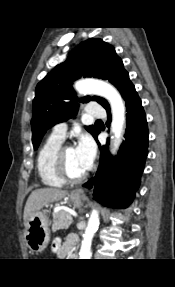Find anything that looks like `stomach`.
Masks as SVG:
<instances>
[{"mask_svg": "<svg viewBox=\"0 0 175 287\" xmlns=\"http://www.w3.org/2000/svg\"><path fill=\"white\" fill-rule=\"evenodd\" d=\"M70 202L74 207H80L83 204L84 196L71 192L68 195ZM50 222L43 212L33 213L25 224L24 239L31 252L43 251L50 241Z\"/></svg>", "mask_w": 175, "mask_h": 287, "instance_id": "stomach-1", "label": "stomach"}]
</instances>
